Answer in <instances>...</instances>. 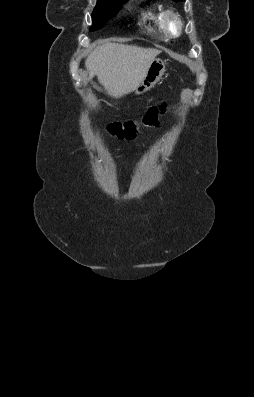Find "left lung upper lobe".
I'll use <instances>...</instances> for the list:
<instances>
[{
	"label": "left lung upper lobe",
	"mask_w": 254,
	"mask_h": 397,
	"mask_svg": "<svg viewBox=\"0 0 254 397\" xmlns=\"http://www.w3.org/2000/svg\"><path fill=\"white\" fill-rule=\"evenodd\" d=\"M174 1L179 2V1H182V0H174Z\"/></svg>",
	"instance_id": "obj_1"
}]
</instances>
